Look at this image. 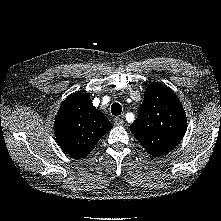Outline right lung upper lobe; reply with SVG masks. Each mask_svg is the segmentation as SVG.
I'll return each mask as SVG.
<instances>
[{"mask_svg":"<svg viewBox=\"0 0 221 221\" xmlns=\"http://www.w3.org/2000/svg\"><path fill=\"white\" fill-rule=\"evenodd\" d=\"M112 123L97 110L89 94L75 93L61 104L54 122L56 140L72 157L87 156Z\"/></svg>","mask_w":221,"mask_h":221,"instance_id":"1","label":"right lung upper lobe"}]
</instances>
